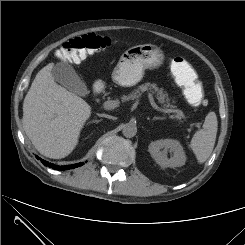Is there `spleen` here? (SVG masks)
Instances as JSON below:
<instances>
[{"label": "spleen", "mask_w": 245, "mask_h": 245, "mask_svg": "<svg viewBox=\"0 0 245 245\" xmlns=\"http://www.w3.org/2000/svg\"><path fill=\"white\" fill-rule=\"evenodd\" d=\"M217 129L218 122L216 114L209 112L205 118L202 129L194 134L190 142V147L198 163H204L211 155L215 145Z\"/></svg>", "instance_id": "3e777b00"}]
</instances>
